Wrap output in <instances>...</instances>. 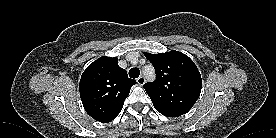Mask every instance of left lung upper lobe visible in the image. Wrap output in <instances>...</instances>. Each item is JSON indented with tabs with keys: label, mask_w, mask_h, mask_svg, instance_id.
<instances>
[{
	"label": "left lung upper lobe",
	"mask_w": 276,
	"mask_h": 138,
	"mask_svg": "<svg viewBox=\"0 0 276 138\" xmlns=\"http://www.w3.org/2000/svg\"><path fill=\"white\" fill-rule=\"evenodd\" d=\"M144 55L156 72V80L143 86L156 110L167 117L187 113L201 92V75L195 63L175 50Z\"/></svg>",
	"instance_id": "obj_1"
}]
</instances>
